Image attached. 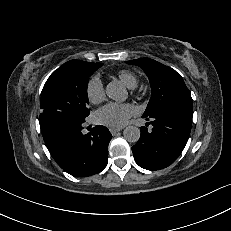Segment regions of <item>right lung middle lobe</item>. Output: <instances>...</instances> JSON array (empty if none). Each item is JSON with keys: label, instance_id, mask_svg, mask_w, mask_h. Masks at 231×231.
Here are the masks:
<instances>
[{"label": "right lung middle lobe", "instance_id": "1", "mask_svg": "<svg viewBox=\"0 0 231 231\" xmlns=\"http://www.w3.org/2000/svg\"><path fill=\"white\" fill-rule=\"evenodd\" d=\"M103 63L71 60L54 71L41 93L40 128L43 135L68 121H81L89 115V77Z\"/></svg>", "mask_w": 231, "mask_h": 231}]
</instances>
